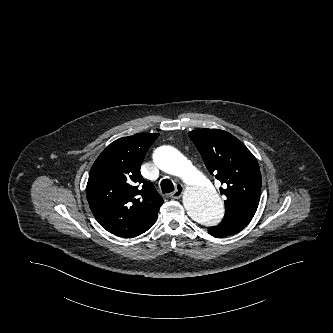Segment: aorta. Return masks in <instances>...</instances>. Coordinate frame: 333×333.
I'll list each match as a JSON object with an SVG mask.
<instances>
[{
	"label": "aorta",
	"instance_id": "1",
	"mask_svg": "<svg viewBox=\"0 0 333 333\" xmlns=\"http://www.w3.org/2000/svg\"><path fill=\"white\" fill-rule=\"evenodd\" d=\"M153 161L160 170L182 177L183 206L193 220L208 227L222 220L223 203L214 186L177 149L161 146L155 151Z\"/></svg>",
	"mask_w": 333,
	"mask_h": 333
}]
</instances>
